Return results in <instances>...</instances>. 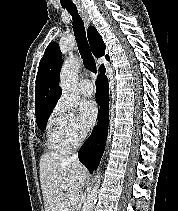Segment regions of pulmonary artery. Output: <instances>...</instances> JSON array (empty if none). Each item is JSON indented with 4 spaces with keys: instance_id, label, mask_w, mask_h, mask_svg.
Here are the masks:
<instances>
[{
    "instance_id": "e3ab8cb5",
    "label": "pulmonary artery",
    "mask_w": 178,
    "mask_h": 211,
    "mask_svg": "<svg viewBox=\"0 0 178 211\" xmlns=\"http://www.w3.org/2000/svg\"><path fill=\"white\" fill-rule=\"evenodd\" d=\"M80 91L85 96H90L93 93V86L90 80L85 79L80 84Z\"/></svg>"
}]
</instances>
